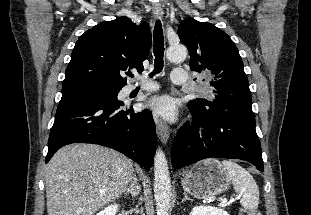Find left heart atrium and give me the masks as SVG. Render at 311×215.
Segmentation results:
<instances>
[{
    "label": "left heart atrium",
    "instance_id": "1",
    "mask_svg": "<svg viewBox=\"0 0 311 215\" xmlns=\"http://www.w3.org/2000/svg\"><path fill=\"white\" fill-rule=\"evenodd\" d=\"M147 109H149L154 116L167 121H174L178 114L175 102L168 96H161L153 99L147 104Z\"/></svg>",
    "mask_w": 311,
    "mask_h": 215
}]
</instances>
